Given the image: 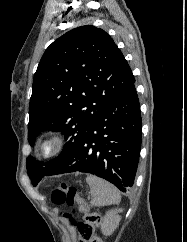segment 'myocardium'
I'll return each instance as SVG.
<instances>
[{
	"label": "myocardium",
	"instance_id": "1",
	"mask_svg": "<svg viewBox=\"0 0 187 242\" xmlns=\"http://www.w3.org/2000/svg\"><path fill=\"white\" fill-rule=\"evenodd\" d=\"M50 145V151H46V146ZM65 147V137L60 132H52L46 136L39 145L40 154L45 158H51L59 155Z\"/></svg>",
	"mask_w": 187,
	"mask_h": 242
}]
</instances>
